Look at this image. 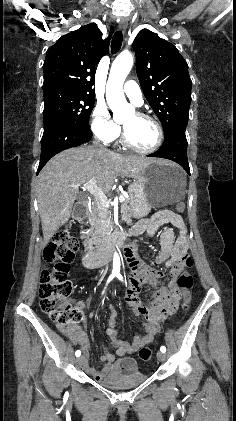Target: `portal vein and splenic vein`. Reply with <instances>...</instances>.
<instances>
[{"label": "portal vein and splenic vein", "mask_w": 236, "mask_h": 421, "mask_svg": "<svg viewBox=\"0 0 236 421\" xmlns=\"http://www.w3.org/2000/svg\"><path fill=\"white\" fill-rule=\"evenodd\" d=\"M97 180L96 178H91L89 182H86V184H70L72 188H83V190H89L91 194H94L98 204H101V206H110V200H108L107 196H105L103 190L99 188L96 184ZM120 202L122 200H125L124 196H119Z\"/></svg>", "instance_id": "1"}]
</instances>
